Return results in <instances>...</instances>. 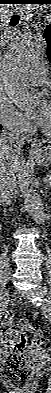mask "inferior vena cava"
Wrapping results in <instances>:
<instances>
[{
	"mask_svg": "<svg viewBox=\"0 0 51 393\" xmlns=\"http://www.w3.org/2000/svg\"><path fill=\"white\" fill-rule=\"evenodd\" d=\"M0 143L4 150L20 154L21 148L24 145V136L20 127L15 123L5 126L1 132ZM17 192V181L14 172H6L2 168L0 172L1 198H13Z\"/></svg>",
	"mask_w": 51,
	"mask_h": 393,
	"instance_id": "obj_1",
	"label": "inferior vena cava"
}]
</instances>
